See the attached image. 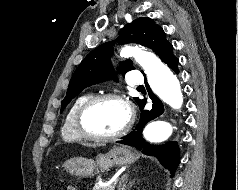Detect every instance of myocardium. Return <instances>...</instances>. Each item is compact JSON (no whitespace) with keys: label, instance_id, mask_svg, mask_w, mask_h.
<instances>
[{"label":"myocardium","instance_id":"1","mask_svg":"<svg viewBox=\"0 0 238 190\" xmlns=\"http://www.w3.org/2000/svg\"><path fill=\"white\" fill-rule=\"evenodd\" d=\"M105 100H117L121 102L126 107L128 112V119L126 124L119 131L109 135H102L91 132L89 129H87L84 122L85 116L90 111V109L94 107L96 104ZM134 119H135L134 109L130 101L126 98V96L116 92H108L92 96L86 102H84L76 114L75 125L78 133L84 139L97 142H106L116 140L124 136L133 126Z\"/></svg>","mask_w":238,"mask_h":190}]
</instances>
